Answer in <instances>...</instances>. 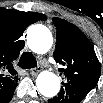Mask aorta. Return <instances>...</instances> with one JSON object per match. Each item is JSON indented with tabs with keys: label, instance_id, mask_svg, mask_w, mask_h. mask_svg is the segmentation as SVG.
<instances>
[{
	"label": "aorta",
	"instance_id": "obj_1",
	"mask_svg": "<svg viewBox=\"0 0 103 103\" xmlns=\"http://www.w3.org/2000/svg\"><path fill=\"white\" fill-rule=\"evenodd\" d=\"M27 44L30 50L37 54H45L53 44V37L50 30L41 24L33 25L27 32ZM39 92L48 98H52L59 93V77L49 71L41 72L36 79Z\"/></svg>",
	"mask_w": 103,
	"mask_h": 103
}]
</instances>
